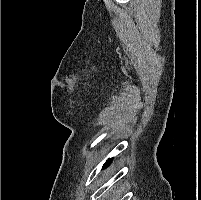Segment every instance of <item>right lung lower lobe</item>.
I'll return each instance as SVG.
<instances>
[{
  "instance_id": "obj_1",
  "label": "right lung lower lobe",
  "mask_w": 201,
  "mask_h": 200,
  "mask_svg": "<svg viewBox=\"0 0 201 200\" xmlns=\"http://www.w3.org/2000/svg\"><path fill=\"white\" fill-rule=\"evenodd\" d=\"M112 162V158L108 159L105 164L103 165V169L106 168L107 166H109V164Z\"/></svg>"
}]
</instances>
